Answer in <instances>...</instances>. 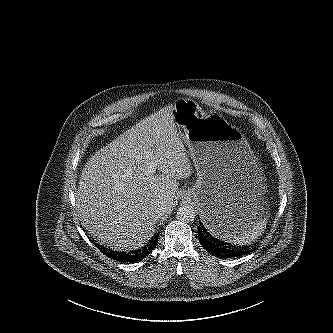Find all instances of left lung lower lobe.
<instances>
[{
    "instance_id": "obj_1",
    "label": "left lung lower lobe",
    "mask_w": 333,
    "mask_h": 333,
    "mask_svg": "<svg viewBox=\"0 0 333 333\" xmlns=\"http://www.w3.org/2000/svg\"><path fill=\"white\" fill-rule=\"evenodd\" d=\"M197 229L200 243L204 249L215 257L225 259L242 256L248 253V251L243 248L238 250L227 247L226 243H223L218 238L212 236L203 224H200Z\"/></svg>"
}]
</instances>
